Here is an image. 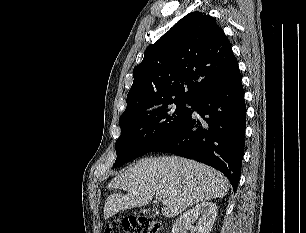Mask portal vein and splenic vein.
Instances as JSON below:
<instances>
[{
  "mask_svg": "<svg viewBox=\"0 0 306 233\" xmlns=\"http://www.w3.org/2000/svg\"><path fill=\"white\" fill-rule=\"evenodd\" d=\"M158 200H161L164 204L168 203V200L166 198L158 197Z\"/></svg>",
  "mask_w": 306,
  "mask_h": 233,
  "instance_id": "portal-vein-and-splenic-vein-1",
  "label": "portal vein and splenic vein"
}]
</instances>
